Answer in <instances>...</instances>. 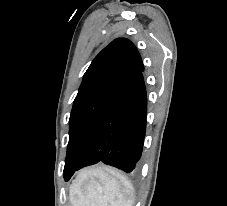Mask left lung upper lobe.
Masks as SVG:
<instances>
[{
  "instance_id": "obj_1",
  "label": "left lung upper lobe",
  "mask_w": 227,
  "mask_h": 206,
  "mask_svg": "<svg viewBox=\"0 0 227 206\" xmlns=\"http://www.w3.org/2000/svg\"><path fill=\"white\" fill-rule=\"evenodd\" d=\"M143 70L137 48L126 38L113 40L94 58L73 103L64 170L80 162L108 104Z\"/></svg>"
}]
</instances>
